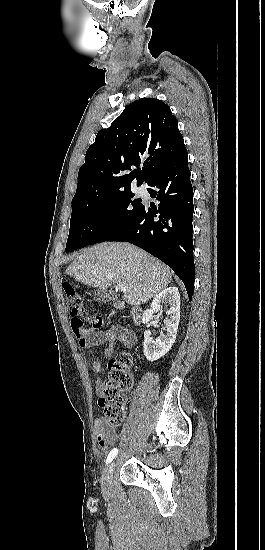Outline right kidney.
<instances>
[{"instance_id":"ca27d5eb","label":"right kidney","mask_w":265,"mask_h":550,"mask_svg":"<svg viewBox=\"0 0 265 550\" xmlns=\"http://www.w3.org/2000/svg\"><path fill=\"white\" fill-rule=\"evenodd\" d=\"M163 303L169 307V318L164 320L166 334H161L154 341L150 337L151 332L149 330L144 332V355L150 362L163 357L175 342L180 320V294L176 287L166 288L155 296L150 309L143 313L142 322L147 324L152 319L153 313L161 311Z\"/></svg>"}]
</instances>
